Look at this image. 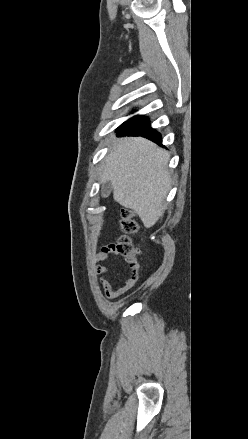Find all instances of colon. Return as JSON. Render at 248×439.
Returning a JSON list of instances; mask_svg holds the SVG:
<instances>
[{
  "label": "colon",
  "instance_id": "colon-1",
  "mask_svg": "<svg viewBox=\"0 0 248 439\" xmlns=\"http://www.w3.org/2000/svg\"><path fill=\"white\" fill-rule=\"evenodd\" d=\"M122 228L126 234L134 233L138 230V225L133 219V212L127 208L122 209ZM116 249L120 255L124 257L126 262L131 266H136L139 269V264L137 261V256L139 254V249L133 244L131 239L124 235L122 236L117 244Z\"/></svg>",
  "mask_w": 248,
  "mask_h": 439
}]
</instances>
